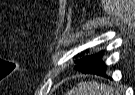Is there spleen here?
<instances>
[{"label":"spleen","mask_w":135,"mask_h":95,"mask_svg":"<svg viewBox=\"0 0 135 95\" xmlns=\"http://www.w3.org/2000/svg\"><path fill=\"white\" fill-rule=\"evenodd\" d=\"M67 95H114L112 86L98 82H80L77 87L70 90Z\"/></svg>","instance_id":"1"}]
</instances>
